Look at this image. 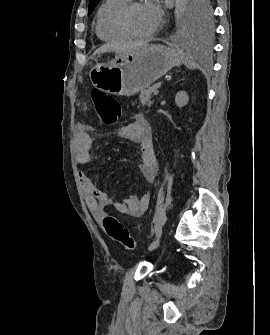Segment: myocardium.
<instances>
[{
    "label": "myocardium",
    "mask_w": 270,
    "mask_h": 335,
    "mask_svg": "<svg viewBox=\"0 0 270 335\" xmlns=\"http://www.w3.org/2000/svg\"><path fill=\"white\" fill-rule=\"evenodd\" d=\"M138 3H129L127 6L122 8L117 15V26L119 30L128 37L131 38H142L143 35L133 33L128 26V15L135 8L138 7Z\"/></svg>",
    "instance_id": "f54148a6"
}]
</instances>
